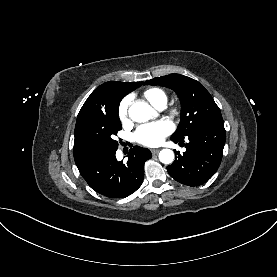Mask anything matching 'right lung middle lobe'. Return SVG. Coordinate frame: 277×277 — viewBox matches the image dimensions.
<instances>
[{"mask_svg": "<svg viewBox=\"0 0 277 277\" xmlns=\"http://www.w3.org/2000/svg\"><path fill=\"white\" fill-rule=\"evenodd\" d=\"M121 128L117 106L108 115L87 119L78 130V141L90 157L111 152L118 148V142L114 140V136Z\"/></svg>", "mask_w": 277, "mask_h": 277, "instance_id": "obj_1", "label": "right lung middle lobe"}]
</instances>
